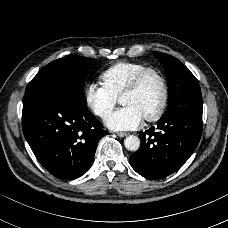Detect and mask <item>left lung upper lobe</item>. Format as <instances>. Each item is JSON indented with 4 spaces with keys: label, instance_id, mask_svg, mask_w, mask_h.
<instances>
[{
    "label": "left lung upper lobe",
    "instance_id": "1",
    "mask_svg": "<svg viewBox=\"0 0 228 228\" xmlns=\"http://www.w3.org/2000/svg\"><path fill=\"white\" fill-rule=\"evenodd\" d=\"M154 55L165 68L168 81L169 103L165 113L178 107L202 108L201 89L194 75L175 57L160 52Z\"/></svg>",
    "mask_w": 228,
    "mask_h": 228
}]
</instances>
